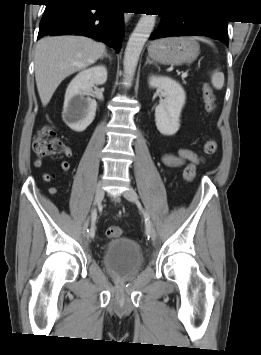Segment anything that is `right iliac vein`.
Listing matches in <instances>:
<instances>
[{
  "label": "right iliac vein",
  "mask_w": 261,
  "mask_h": 355,
  "mask_svg": "<svg viewBox=\"0 0 261 355\" xmlns=\"http://www.w3.org/2000/svg\"><path fill=\"white\" fill-rule=\"evenodd\" d=\"M103 197H104L103 183L99 182L96 186V189H95L94 204L96 206L99 205L101 203ZM88 224H89V219H87V221L85 222V224L83 226V233L86 232Z\"/></svg>",
  "instance_id": "1"
}]
</instances>
